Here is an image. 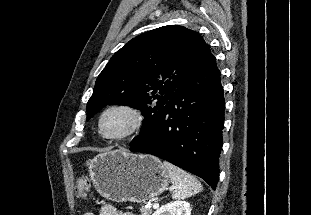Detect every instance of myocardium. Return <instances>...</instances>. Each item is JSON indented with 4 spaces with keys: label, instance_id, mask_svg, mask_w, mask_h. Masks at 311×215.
Masks as SVG:
<instances>
[{
    "label": "myocardium",
    "instance_id": "myocardium-1",
    "mask_svg": "<svg viewBox=\"0 0 311 215\" xmlns=\"http://www.w3.org/2000/svg\"><path fill=\"white\" fill-rule=\"evenodd\" d=\"M121 110L129 113L132 117L131 125L123 132L118 134H107L103 130V119L111 111ZM144 125V115L143 113L133 105L125 103H116L107 106L100 114L98 118V131L100 135L108 140L120 141L134 136L142 129Z\"/></svg>",
    "mask_w": 311,
    "mask_h": 215
}]
</instances>
